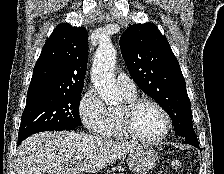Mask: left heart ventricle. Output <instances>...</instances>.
<instances>
[{
  "label": "left heart ventricle",
  "instance_id": "left-heart-ventricle-1",
  "mask_svg": "<svg viewBox=\"0 0 224 174\" xmlns=\"http://www.w3.org/2000/svg\"><path fill=\"white\" fill-rule=\"evenodd\" d=\"M122 108L123 107H121L119 111H121ZM133 126L140 135L153 138L162 134L165 129V120L154 106L144 104L134 113Z\"/></svg>",
  "mask_w": 224,
  "mask_h": 174
}]
</instances>
